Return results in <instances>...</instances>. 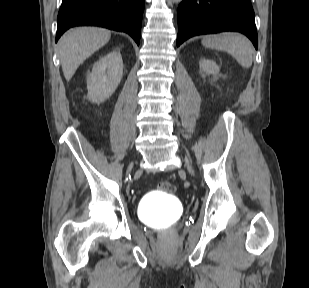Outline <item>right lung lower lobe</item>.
Listing matches in <instances>:
<instances>
[{
	"mask_svg": "<svg viewBox=\"0 0 309 288\" xmlns=\"http://www.w3.org/2000/svg\"><path fill=\"white\" fill-rule=\"evenodd\" d=\"M145 0H63L57 17L56 42L74 26H101L126 32L139 45Z\"/></svg>",
	"mask_w": 309,
	"mask_h": 288,
	"instance_id": "1",
	"label": "right lung lower lobe"
}]
</instances>
